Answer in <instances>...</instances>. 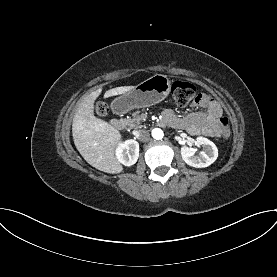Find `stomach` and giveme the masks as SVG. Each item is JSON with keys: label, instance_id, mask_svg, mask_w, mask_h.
<instances>
[{"label": "stomach", "instance_id": "stomach-1", "mask_svg": "<svg viewBox=\"0 0 277 277\" xmlns=\"http://www.w3.org/2000/svg\"><path fill=\"white\" fill-rule=\"evenodd\" d=\"M171 81L166 75L156 74L122 94L112 102L116 113H126L134 108L152 106L164 100L170 92Z\"/></svg>", "mask_w": 277, "mask_h": 277}]
</instances>
